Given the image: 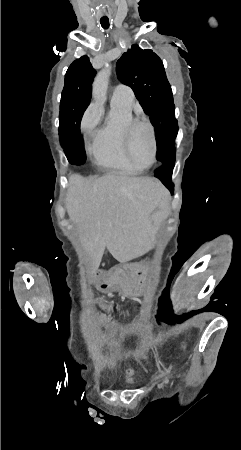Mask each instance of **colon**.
I'll list each match as a JSON object with an SVG mask.
<instances>
[{
  "instance_id": "obj_1",
  "label": "colon",
  "mask_w": 241,
  "mask_h": 450,
  "mask_svg": "<svg viewBox=\"0 0 241 450\" xmlns=\"http://www.w3.org/2000/svg\"><path fill=\"white\" fill-rule=\"evenodd\" d=\"M81 323L83 325H88L89 323H94L97 327H101V331L107 335H112V339L118 342L120 347H125L127 345V339L119 331H115L113 326L109 324H104V320L98 314H87L81 318ZM126 351L129 349L127 346L124 348ZM183 353L185 350L180 348L178 350ZM137 355V354H136Z\"/></svg>"
}]
</instances>
